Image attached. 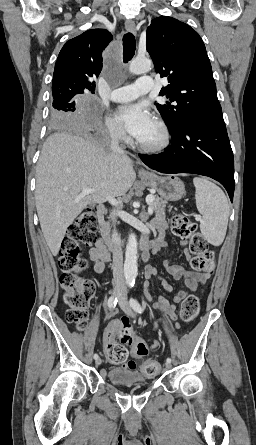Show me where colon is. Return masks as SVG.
Masks as SVG:
<instances>
[{
	"instance_id": "5ec220e1",
	"label": "colon",
	"mask_w": 256,
	"mask_h": 445,
	"mask_svg": "<svg viewBox=\"0 0 256 445\" xmlns=\"http://www.w3.org/2000/svg\"><path fill=\"white\" fill-rule=\"evenodd\" d=\"M98 208L90 206L85 209L69 227L67 236L62 241L59 250V267L61 275L59 283L64 291L67 319L79 330L86 325L87 308L94 294V284L89 278L79 275L84 262L80 259L82 249L93 243L97 232ZM172 233L182 239L189 240V250L193 254L192 265L195 269L211 273L215 267V254L208 242L197 230L196 224L185 214H175L171 219ZM199 298L189 295L183 301L180 317L182 321H193L199 312ZM125 328L119 342L109 343L104 349L107 359L112 363H123L127 357L126 345L130 346L133 357L141 358L148 353L144 340L135 337L130 330L132 325L127 317L121 318ZM160 365L156 361H146L143 364L145 375L152 377L158 373Z\"/></svg>"
}]
</instances>
